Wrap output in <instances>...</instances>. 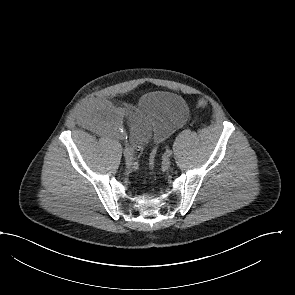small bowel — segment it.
Wrapping results in <instances>:
<instances>
[{"mask_svg": "<svg viewBox=\"0 0 295 295\" xmlns=\"http://www.w3.org/2000/svg\"><path fill=\"white\" fill-rule=\"evenodd\" d=\"M124 111L115 108L107 100H96L83 111V121L93 128L110 134L114 132L116 121ZM130 142L135 149H141L151 138V125L138 110L128 112Z\"/></svg>", "mask_w": 295, "mask_h": 295, "instance_id": "1", "label": "small bowel"}]
</instances>
